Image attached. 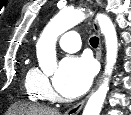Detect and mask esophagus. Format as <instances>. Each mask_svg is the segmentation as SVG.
Masks as SVG:
<instances>
[{
	"mask_svg": "<svg viewBox=\"0 0 131 115\" xmlns=\"http://www.w3.org/2000/svg\"><path fill=\"white\" fill-rule=\"evenodd\" d=\"M93 28H94V30L100 35V30H99L97 21H96L95 19L93 20ZM96 56H97V58H98L99 60L101 59V56H102V45H101V41H100V43H99V47H98ZM84 103H85V100L77 103L76 105H74L73 107H71L70 109H68V110L65 112V115H77V114L80 112V110L82 109V107L84 106Z\"/></svg>",
	"mask_w": 131,
	"mask_h": 115,
	"instance_id": "34e87169",
	"label": "esophagus"
}]
</instances>
